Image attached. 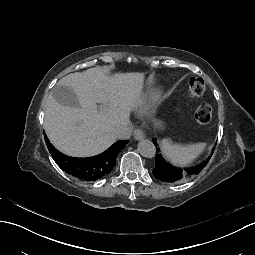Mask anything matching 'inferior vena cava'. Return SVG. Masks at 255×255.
Returning a JSON list of instances; mask_svg holds the SVG:
<instances>
[{"label": "inferior vena cava", "instance_id": "1", "mask_svg": "<svg viewBox=\"0 0 255 255\" xmlns=\"http://www.w3.org/2000/svg\"><path fill=\"white\" fill-rule=\"evenodd\" d=\"M133 127L129 123H123L116 132L117 139H128L131 136Z\"/></svg>", "mask_w": 255, "mask_h": 255}]
</instances>
